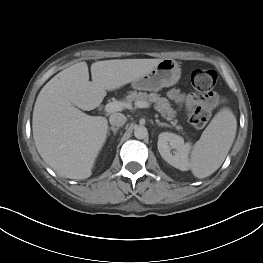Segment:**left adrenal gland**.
<instances>
[{"label":"left adrenal gland","instance_id":"a2214340","mask_svg":"<svg viewBox=\"0 0 263 263\" xmlns=\"http://www.w3.org/2000/svg\"><path fill=\"white\" fill-rule=\"evenodd\" d=\"M156 123L158 126H166V127H170V125L166 124V123H162L159 120H156Z\"/></svg>","mask_w":263,"mask_h":263}]
</instances>
